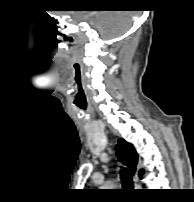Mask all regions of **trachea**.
Segmentation results:
<instances>
[{
	"label": "trachea",
	"mask_w": 194,
	"mask_h": 202,
	"mask_svg": "<svg viewBox=\"0 0 194 202\" xmlns=\"http://www.w3.org/2000/svg\"><path fill=\"white\" fill-rule=\"evenodd\" d=\"M120 173H121L120 176H121L122 185L126 188L132 187L133 181L131 177L124 170H121Z\"/></svg>",
	"instance_id": "trachea-1"
}]
</instances>
